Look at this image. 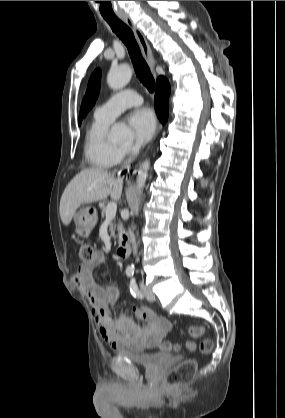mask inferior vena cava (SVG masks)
I'll return each instance as SVG.
<instances>
[{
	"instance_id": "obj_1",
	"label": "inferior vena cava",
	"mask_w": 285,
	"mask_h": 418,
	"mask_svg": "<svg viewBox=\"0 0 285 418\" xmlns=\"http://www.w3.org/2000/svg\"><path fill=\"white\" fill-rule=\"evenodd\" d=\"M137 149L136 148H132L131 150V156H135L137 154ZM132 157H130L126 164L125 167L129 168L130 167V162H131ZM128 235H129V239L130 242L132 243V248H133V254L136 255L137 254V243H136V239H135V235L134 233L131 231V229L128 230Z\"/></svg>"
}]
</instances>
